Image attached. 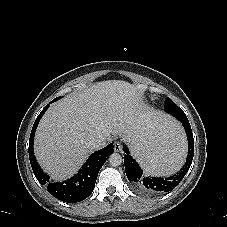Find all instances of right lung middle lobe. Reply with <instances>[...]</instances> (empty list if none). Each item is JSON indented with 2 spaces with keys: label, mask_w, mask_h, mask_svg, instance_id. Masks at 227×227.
<instances>
[{
  "label": "right lung middle lobe",
  "mask_w": 227,
  "mask_h": 227,
  "mask_svg": "<svg viewBox=\"0 0 227 227\" xmlns=\"http://www.w3.org/2000/svg\"><path fill=\"white\" fill-rule=\"evenodd\" d=\"M60 98H61V97H57V98L54 99V101H56V100H58V99H60Z\"/></svg>",
  "instance_id": "dd1d6c3e"
}]
</instances>
